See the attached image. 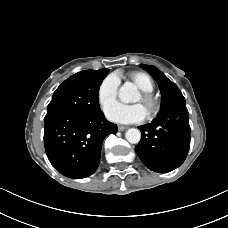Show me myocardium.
Listing matches in <instances>:
<instances>
[{
  "mask_svg": "<svg viewBox=\"0 0 228 228\" xmlns=\"http://www.w3.org/2000/svg\"><path fill=\"white\" fill-rule=\"evenodd\" d=\"M141 98L142 102L147 107V112L150 116H154L160 111L161 103L152 93L142 91Z\"/></svg>",
  "mask_w": 228,
  "mask_h": 228,
  "instance_id": "f54148a6",
  "label": "myocardium"
}]
</instances>
